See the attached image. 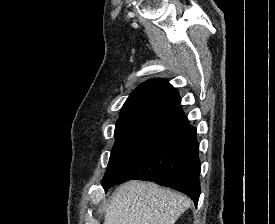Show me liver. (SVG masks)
<instances>
[{"instance_id":"liver-1","label":"liver","mask_w":275,"mask_h":224,"mask_svg":"<svg viewBox=\"0 0 275 224\" xmlns=\"http://www.w3.org/2000/svg\"><path fill=\"white\" fill-rule=\"evenodd\" d=\"M189 206L185 196L170 189L128 181L110 197L104 224H174Z\"/></svg>"}]
</instances>
